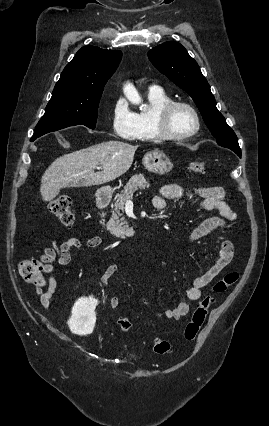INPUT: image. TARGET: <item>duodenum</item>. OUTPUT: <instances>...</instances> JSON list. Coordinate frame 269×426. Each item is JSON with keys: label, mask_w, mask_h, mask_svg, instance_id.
<instances>
[{"label": "duodenum", "mask_w": 269, "mask_h": 426, "mask_svg": "<svg viewBox=\"0 0 269 426\" xmlns=\"http://www.w3.org/2000/svg\"><path fill=\"white\" fill-rule=\"evenodd\" d=\"M111 197L106 191H99L95 197L94 205L97 209L104 208L109 204Z\"/></svg>", "instance_id": "410a0bca"}]
</instances>
